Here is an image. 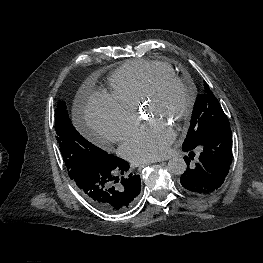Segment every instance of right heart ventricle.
Returning a JSON list of instances; mask_svg holds the SVG:
<instances>
[{
  "mask_svg": "<svg viewBox=\"0 0 263 263\" xmlns=\"http://www.w3.org/2000/svg\"><path fill=\"white\" fill-rule=\"evenodd\" d=\"M163 74H175V71L164 62L144 59L127 61L109 77L111 95L136 110L148 87Z\"/></svg>",
  "mask_w": 263,
  "mask_h": 263,
  "instance_id": "obj_1",
  "label": "right heart ventricle"
}]
</instances>
